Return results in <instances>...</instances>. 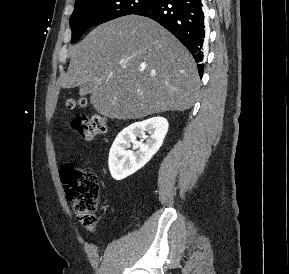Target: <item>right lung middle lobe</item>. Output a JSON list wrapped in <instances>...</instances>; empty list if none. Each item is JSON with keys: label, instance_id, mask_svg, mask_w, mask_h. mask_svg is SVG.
<instances>
[{"label": "right lung middle lobe", "instance_id": "obj_1", "mask_svg": "<svg viewBox=\"0 0 289 274\" xmlns=\"http://www.w3.org/2000/svg\"><path fill=\"white\" fill-rule=\"evenodd\" d=\"M156 0H76L70 17L72 43L90 27L115 18L135 14Z\"/></svg>", "mask_w": 289, "mask_h": 274}]
</instances>
